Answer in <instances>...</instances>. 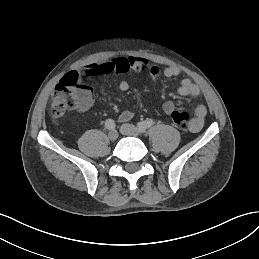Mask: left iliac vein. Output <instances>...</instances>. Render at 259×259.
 Masks as SVG:
<instances>
[{
	"mask_svg": "<svg viewBox=\"0 0 259 259\" xmlns=\"http://www.w3.org/2000/svg\"><path fill=\"white\" fill-rule=\"evenodd\" d=\"M120 131L123 135L131 136V137H139L140 130L132 124H123L120 127Z\"/></svg>",
	"mask_w": 259,
	"mask_h": 259,
	"instance_id": "4c4485c4",
	"label": "left iliac vein"
}]
</instances>
